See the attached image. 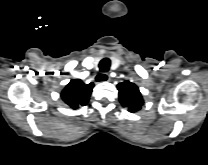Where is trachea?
I'll return each mask as SVG.
<instances>
[{
    "instance_id": "3493384b",
    "label": "trachea",
    "mask_w": 208,
    "mask_h": 165,
    "mask_svg": "<svg viewBox=\"0 0 208 165\" xmlns=\"http://www.w3.org/2000/svg\"><path fill=\"white\" fill-rule=\"evenodd\" d=\"M111 61L109 58H104L99 63V69L101 72H107L110 68Z\"/></svg>"
}]
</instances>
